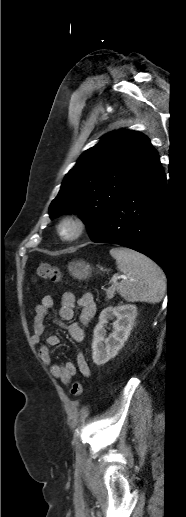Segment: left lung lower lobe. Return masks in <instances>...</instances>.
I'll return each instance as SVG.
<instances>
[{"instance_id":"1","label":"left lung lower lobe","mask_w":186,"mask_h":517,"mask_svg":"<svg viewBox=\"0 0 186 517\" xmlns=\"http://www.w3.org/2000/svg\"><path fill=\"white\" fill-rule=\"evenodd\" d=\"M166 190V176L157 157L110 210L92 240L143 253L169 276L165 257Z\"/></svg>"}]
</instances>
